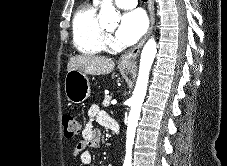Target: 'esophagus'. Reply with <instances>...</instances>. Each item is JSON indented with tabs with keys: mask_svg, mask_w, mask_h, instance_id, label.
Returning a JSON list of instances; mask_svg holds the SVG:
<instances>
[{
	"mask_svg": "<svg viewBox=\"0 0 227 166\" xmlns=\"http://www.w3.org/2000/svg\"><path fill=\"white\" fill-rule=\"evenodd\" d=\"M148 11H149V19H150V25H149L148 31L146 32L144 37L141 39V41L131 51H128L127 53L122 55V57L120 58L121 65L133 64L135 62V60L137 59L142 46L144 45L146 40L151 35L153 28H154V23H155L154 0H148Z\"/></svg>",
	"mask_w": 227,
	"mask_h": 166,
	"instance_id": "1",
	"label": "esophagus"
}]
</instances>
